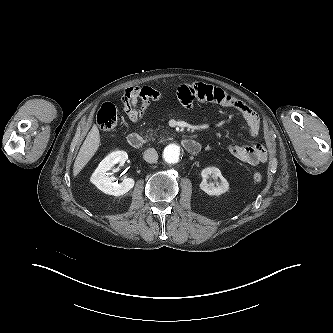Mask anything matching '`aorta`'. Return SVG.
<instances>
[{"instance_id":"obj_1","label":"aorta","mask_w":333,"mask_h":333,"mask_svg":"<svg viewBox=\"0 0 333 333\" xmlns=\"http://www.w3.org/2000/svg\"><path fill=\"white\" fill-rule=\"evenodd\" d=\"M181 149L176 144H170L163 151V158L167 163H177L180 159Z\"/></svg>"}]
</instances>
